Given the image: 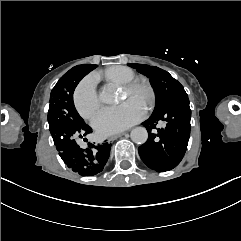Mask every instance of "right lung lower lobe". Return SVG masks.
Wrapping results in <instances>:
<instances>
[{
	"instance_id": "1",
	"label": "right lung lower lobe",
	"mask_w": 241,
	"mask_h": 241,
	"mask_svg": "<svg viewBox=\"0 0 241 241\" xmlns=\"http://www.w3.org/2000/svg\"><path fill=\"white\" fill-rule=\"evenodd\" d=\"M92 70L91 64H83L74 81L76 86ZM91 132L92 128L85 124L78 134L79 137H82V135L86 136ZM91 146L93 148L89 146V148L82 149L76 143L74 137L69 135H64L56 144L61 159L69 168L81 176H92L100 173L108 161L111 144L103 143L98 146L92 144Z\"/></svg>"
}]
</instances>
